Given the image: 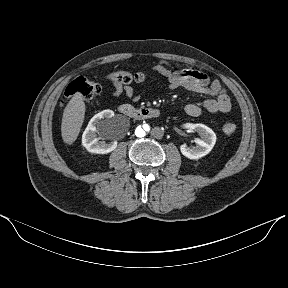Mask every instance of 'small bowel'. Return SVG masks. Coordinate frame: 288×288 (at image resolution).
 I'll list each match as a JSON object with an SVG mask.
<instances>
[{"label": "small bowel", "instance_id": "1", "mask_svg": "<svg viewBox=\"0 0 288 288\" xmlns=\"http://www.w3.org/2000/svg\"><path fill=\"white\" fill-rule=\"evenodd\" d=\"M153 71L166 79L167 87L170 90L184 88L207 96L200 102L187 104L184 108L187 115L198 117L204 112L215 114L228 113L231 110V100L226 91L218 80H212L207 74L190 69L173 70L166 61L156 64ZM110 96L113 98L125 96L132 101L140 98L139 92L132 86H122L118 83L114 84V90Z\"/></svg>", "mask_w": 288, "mask_h": 288}]
</instances>
